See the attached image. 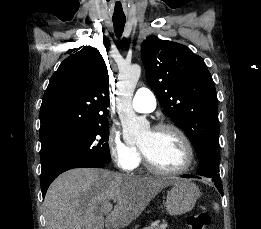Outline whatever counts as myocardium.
Wrapping results in <instances>:
<instances>
[{"label":"myocardium","mask_w":261,"mask_h":229,"mask_svg":"<svg viewBox=\"0 0 261 229\" xmlns=\"http://www.w3.org/2000/svg\"><path fill=\"white\" fill-rule=\"evenodd\" d=\"M164 130H169V131L176 133L179 136V138L181 139L183 146L185 148V152H186V158H185L184 164L180 168L175 169V170L162 169V168L156 166L147 157V155L144 153V151L139 147L144 164L149 171H151L152 173H155V174H159V175H163V176H176V175L183 174L189 170V168L191 167V165L193 163L194 151H193L192 144H191L189 138L187 137V135L185 134V132L173 124L162 123V124L156 125L155 127H153L151 129V132L157 133V132H161Z\"/></svg>","instance_id":"1"}]
</instances>
